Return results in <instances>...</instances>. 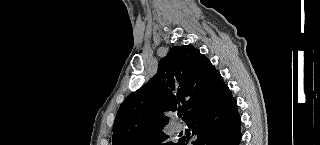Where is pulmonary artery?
I'll use <instances>...</instances> for the list:
<instances>
[{"mask_svg":"<svg viewBox=\"0 0 320 145\" xmlns=\"http://www.w3.org/2000/svg\"><path fill=\"white\" fill-rule=\"evenodd\" d=\"M172 129L174 132H181L183 131L184 127L181 123L175 122L172 124Z\"/></svg>","mask_w":320,"mask_h":145,"instance_id":"1","label":"pulmonary artery"}]
</instances>
